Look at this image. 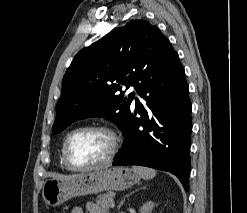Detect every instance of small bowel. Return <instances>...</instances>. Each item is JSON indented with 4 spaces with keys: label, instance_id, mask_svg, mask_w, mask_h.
Masks as SVG:
<instances>
[{
    "label": "small bowel",
    "instance_id": "small-bowel-1",
    "mask_svg": "<svg viewBox=\"0 0 247 213\" xmlns=\"http://www.w3.org/2000/svg\"><path fill=\"white\" fill-rule=\"evenodd\" d=\"M88 211L89 213H103V211L94 203L88 204ZM71 213H84L82 208L76 206L73 207Z\"/></svg>",
    "mask_w": 247,
    "mask_h": 213
}]
</instances>
